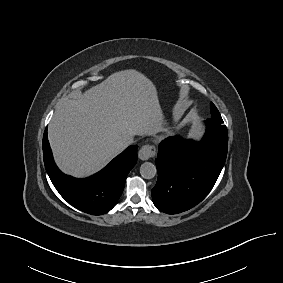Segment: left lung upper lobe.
Returning a JSON list of instances; mask_svg holds the SVG:
<instances>
[{
    "label": "left lung upper lobe",
    "instance_id": "left-lung-upper-lobe-1",
    "mask_svg": "<svg viewBox=\"0 0 283 283\" xmlns=\"http://www.w3.org/2000/svg\"><path fill=\"white\" fill-rule=\"evenodd\" d=\"M210 111H211V115H212L211 119L218 124H223V120L221 118V115H220L218 109L216 108V106L213 103L210 104Z\"/></svg>",
    "mask_w": 283,
    "mask_h": 283
}]
</instances>
